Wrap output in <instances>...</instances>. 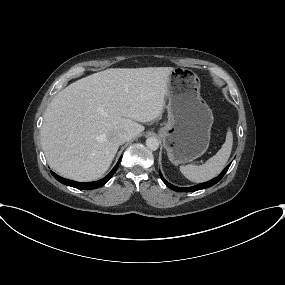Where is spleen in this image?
Segmentation results:
<instances>
[{"instance_id":"spleen-1","label":"spleen","mask_w":285,"mask_h":285,"mask_svg":"<svg viewBox=\"0 0 285 285\" xmlns=\"http://www.w3.org/2000/svg\"><path fill=\"white\" fill-rule=\"evenodd\" d=\"M233 135L230 129L222 148L203 165L181 166V173L192 182H205L216 177L226 165L232 150Z\"/></svg>"}]
</instances>
